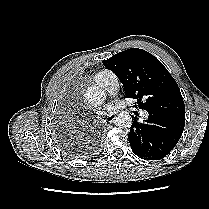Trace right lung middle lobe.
Segmentation results:
<instances>
[{"label": "right lung middle lobe", "instance_id": "right-lung-middle-lobe-1", "mask_svg": "<svg viewBox=\"0 0 209 209\" xmlns=\"http://www.w3.org/2000/svg\"><path fill=\"white\" fill-rule=\"evenodd\" d=\"M62 148H63V150H65V152H67L69 155L74 156V155H76L77 153L80 154V152H74V150H72V148L69 147V146L66 145V144H62Z\"/></svg>", "mask_w": 209, "mask_h": 209}]
</instances>
